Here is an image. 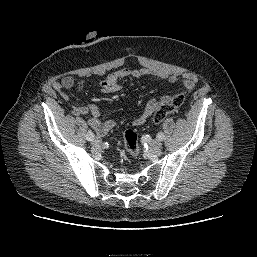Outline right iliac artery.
<instances>
[{"label":"right iliac artery","mask_w":257,"mask_h":257,"mask_svg":"<svg viewBox=\"0 0 257 257\" xmlns=\"http://www.w3.org/2000/svg\"><path fill=\"white\" fill-rule=\"evenodd\" d=\"M86 140H88V141H92V140H94V138H95V134L92 132V131H89L87 134H86Z\"/></svg>","instance_id":"82829eb1"}]
</instances>
